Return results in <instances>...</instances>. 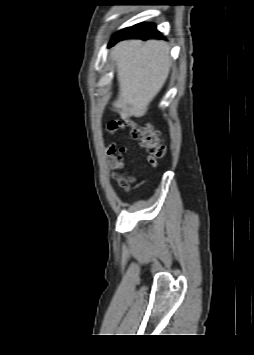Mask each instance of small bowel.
<instances>
[{
    "label": "small bowel",
    "instance_id": "c3829d8e",
    "mask_svg": "<svg viewBox=\"0 0 254 355\" xmlns=\"http://www.w3.org/2000/svg\"><path fill=\"white\" fill-rule=\"evenodd\" d=\"M110 123H114L109 126ZM122 121H111L108 123V132L111 136H115L119 129H124ZM129 152L127 146L118 145L116 142H111L105 146V154L109 168L114 172L113 179L125 190L130 191L133 187L140 183L137 181L138 176L128 172L127 163L124 155ZM147 163L150 168L156 166L155 158L147 157Z\"/></svg>",
    "mask_w": 254,
    "mask_h": 355
}]
</instances>
